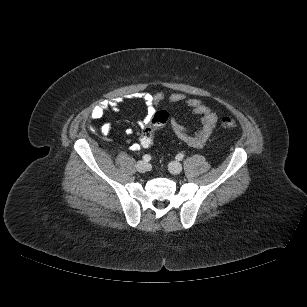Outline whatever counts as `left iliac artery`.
<instances>
[{
  "label": "left iliac artery",
  "mask_w": 307,
  "mask_h": 307,
  "mask_svg": "<svg viewBox=\"0 0 307 307\" xmlns=\"http://www.w3.org/2000/svg\"><path fill=\"white\" fill-rule=\"evenodd\" d=\"M184 158V154H182V153H179V154H177V156H176V159L177 160H182Z\"/></svg>",
  "instance_id": "obj_1"
}]
</instances>
